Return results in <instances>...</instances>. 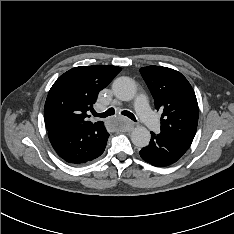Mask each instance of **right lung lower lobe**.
Wrapping results in <instances>:
<instances>
[{"mask_svg":"<svg viewBox=\"0 0 234 234\" xmlns=\"http://www.w3.org/2000/svg\"><path fill=\"white\" fill-rule=\"evenodd\" d=\"M48 137L62 159L82 164L104 152L109 134L103 124H78L49 131Z\"/></svg>","mask_w":234,"mask_h":234,"instance_id":"1","label":"right lung lower lobe"}]
</instances>
